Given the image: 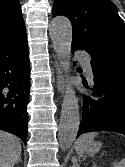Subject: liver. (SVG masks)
<instances>
[{"instance_id":"6515ba94","label":"liver","mask_w":125,"mask_h":167,"mask_svg":"<svg viewBox=\"0 0 125 167\" xmlns=\"http://www.w3.org/2000/svg\"><path fill=\"white\" fill-rule=\"evenodd\" d=\"M20 155L19 138L0 130V167H14Z\"/></svg>"}]
</instances>
